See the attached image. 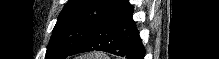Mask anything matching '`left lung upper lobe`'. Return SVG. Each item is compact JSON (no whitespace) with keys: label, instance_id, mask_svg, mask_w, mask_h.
I'll return each instance as SVG.
<instances>
[{"label":"left lung upper lobe","instance_id":"left-lung-upper-lobe-1","mask_svg":"<svg viewBox=\"0 0 219 59\" xmlns=\"http://www.w3.org/2000/svg\"><path fill=\"white\" fill-rule=\"evenodd\" d=\"M111 0H68L47 46L45 59H65L94 30Z\"/></svg>","mask_w":219,"mask_h":59}]
</instances>
